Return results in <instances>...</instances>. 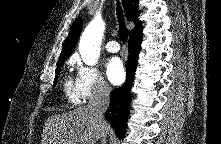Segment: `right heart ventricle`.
Returning a JSON list of instances; mask_svg holds the SVG:
<instances>
[{
    "label": "right heart ventricle",
    "instance_id": "right-heart-ventricle-1",
    "mask_svg": "<svg viewBox=\"0 0 221 144\" xmlns=\"http://www.w3.org/2000/svg\"><path fill=\"white\" fill-rule=\"evenodd\" d=\"M64 93L68 101L72 104H78L80 99L77 95L76 86L71 79L67 78L64 84Z\"/></svg>",
    "mask_w": 221,
    "mask_h": 144
}]
</instances>
